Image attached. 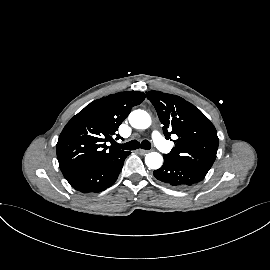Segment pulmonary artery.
I'll use <instances>...</instances> for the list:
<instances>
[{
    "mask_svg": "<svg viewBox=\"0 0 270 270\" xmlns=\"http://www.w3.org/2000/svg\"><path fill=\"white\" fill-rule=\"evenodd\" d=\"M152 139L155 145L163 152L167 153L170 151V146L167 141L162 137V135L158 131H153Z\"/></svg>",
    "mask_w": 270,
    "mask_h": 270,
    "instance_id": "pulmonary-artery-1",
    "label": "pulmonary artery"
}]
</instances>
